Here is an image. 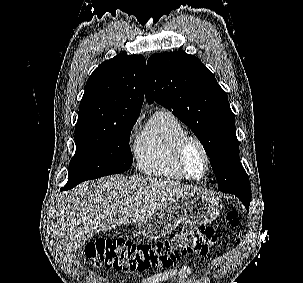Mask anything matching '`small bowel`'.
Returning <instances> with one entry per match:
<instances>
[{
	"label": "small bowel",
	"instance_id": "1",
	"mask_svg": "<svg viewBox=\"0 0 303 283\" xmlns=\"http://www.w3.org/2000/svg\"><path fill=\"white\" fill-rule=\"evenodd\" d=\"M187 272L188 268L186 266H183L171 271L161 272L152 276L144 277L141 279V283H161L173 278L178 274H186Z\"/></svg>",
	"mask_w": 303,
	"mask_h": 283
}]
</instances>
